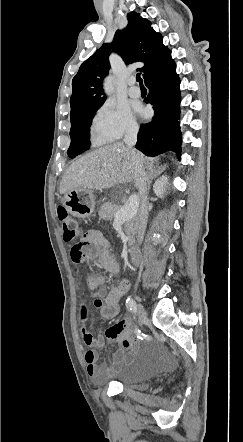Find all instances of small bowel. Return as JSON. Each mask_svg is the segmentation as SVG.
Masks as SVG:
<instances>
[{"label": "small bowel", "instance_id": "obj_1", "mask_svg": "<svg viewBox=\"0 0 243 442\" xmlns=\"http://www.w3.org/2000/svg\"><path fill=\"white\" fill-rule=\"evenodd\" d=\"M83 240L86 245L83 250V258L80 261L72 259L74 263L77 264L83 260H89L97 263L112 274L119 273L120 263L112 253L110 242L100 230H88ZM100 284L101 286L94 293L93 306L100 310V315L103 319H114L120 312V299L127 289V282H122L120 286L111 290L103 287V278H100ZM89 314V305L82 302L78 310V320L83 343L88 347L84 352L83 358L88 375L95 382L99 383L113 375L116 368L126 357L125 351H133L136 339L133 336L132 321L129 318L118 320L109 326L103 334L94 336L86 327ZM106 342L117 346V350L113 354L109 365L102 362L98 354V350L102 349Z\"/></svg>", "mask_w": 243, "mask_h": 442}]
</instances>
